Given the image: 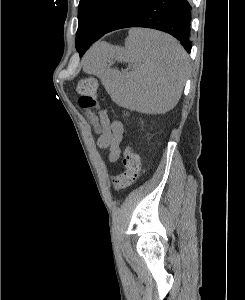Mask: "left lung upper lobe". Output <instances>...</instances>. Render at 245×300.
I'll return each instance as SVG.
<instances>
[{"label":"left lung upper lobe","mask_w":245,"mask_h":300,"mask_svg":"<svg viewBox=\"0 0 245 300\" xmlns=\"http://www.w3.org/2000/svg\"><path fill=\"white\" fill-rule=\"evenodd\" d=\"M136 0H80L76 33V49L80 53L86 41L104 34L112 22Z\"/></svg>","instance_id":"1"}]
</instances>
